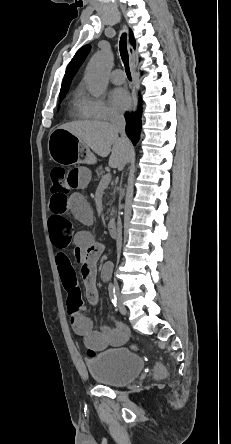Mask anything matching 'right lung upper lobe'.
<instances>
[{
  "instance_id": "1",
  "label": "right lung upper lobe",
  "mask_w": 231,
  "mask_h": 444,
  "mask_svg": "<svg viewBox=\"0 0 231 444\" xmlns=\"http://www.w3.org/2000/svg\"><path fill=\"white\" fill-rule=\"evenodd\" d=\"M130 43L135 48L136 42L131 30H130ZM90 48H91L90 45H85L76 52L75 56L73 57V59L71 60V62L67 67L64 80L61 86V90L69 89V85L71 83L72 78L75 76L79 67L85 60L86 56L90 51Z\"/></svg>"
}]
</instances>
